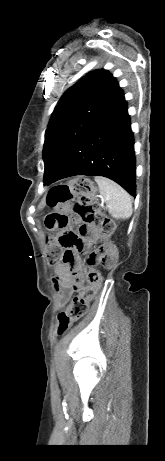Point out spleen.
Returning <instances> with one entry per match:
<instances>
[{
  "mask_svg": "<svg viewBox=\"0 0 165 461\" xmlns=\"http://www.w3.org/2000/svg\"><path fill=\"white\" fill-rule=\"evenodd\" d=\"M95 181L109 214L115 219H128L133 212L132 197L128 192L108 178L96 176Z\"/></svg>",
  "mask_w": 165,
  "mask_h": 461,
  "instance_id": "1",
  "label": "spleen"
}]
</instances>
